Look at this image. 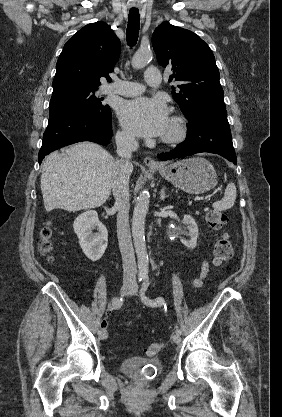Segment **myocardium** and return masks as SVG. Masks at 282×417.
Listing matches in <instances>:
<instances>
[{"label":"myocardium","mask_w":282,"mask_h":417,"mask_svg":"<svg viewBox=\"0 0 282 417\" xmlns=\"http://www.w3.org/2000/svg\"><path fill=\"white\" fill-rule=\"evenodd\" d=\"M170 130L161 136V141L167 145H175L182 142L187 135L186 124L183 118L173 116L169 122Z\"/></svg>","instance_id":"myocardium-1"}]
</instances>
